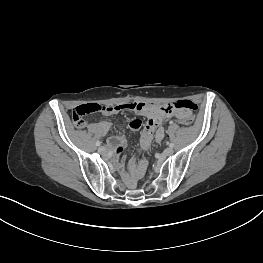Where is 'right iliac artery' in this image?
I'll return each instance as SVG.
<instances>
[{
    "label": "right iliac artery",
    "mask_w": 263,
    "mask_h": 263,
    "mask_svg": "<svg viewBox=\"0 0 263 263\" xmlns=\"http://www.w3.org/2000/svg\"><path fill=\"white\" fill-rule=\"evenodd\" d=\"M100 144H101L100 141H97V142H96V145H97V146H100Z\"/></svg>",
    "instance_id": "82829eb1"
}]
</instances>
